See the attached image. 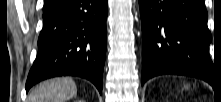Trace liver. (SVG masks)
Masks as SVG:
<instances>
[{
    "label": "liver",
    "mask_w": 221,
    "mask_h": 102,
    "mask_svg": "<svg viewBox=\"0 0 221 102\" xmlns=\"http://www.w3.org/2000/svg\"><path fill=\"white\" fill-rule=\"evenodd\" d=\"M77 94V86L70 78H55L44 81L34 88L28 102H66Z\"/></svg>",
    "instance_id": "1"
}]
</instances>
